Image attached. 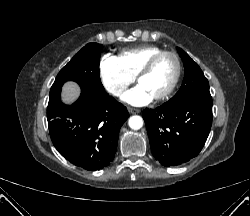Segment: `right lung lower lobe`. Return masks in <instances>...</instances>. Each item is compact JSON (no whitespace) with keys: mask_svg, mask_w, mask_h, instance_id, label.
Returning <instances> with one entry per match:
<instances>
[{"mask_svg":"<svg viewBox=\"0 0 250 216\" xmlns=\"http://www.w3.org/2000/svg\"><path fill=\"white\" fill-rule=\"evenodd\" d=\"M129 114L105 91L81 88L79 99L65 105L60 95L49 98L47 119L55 148L68 161L100 170L113 160L119 131Z\"/></svg>","mask_w":250,"mask_h":216,"instance_id":"obj_1","label":"right lung lower lobe"}]
</instances>
